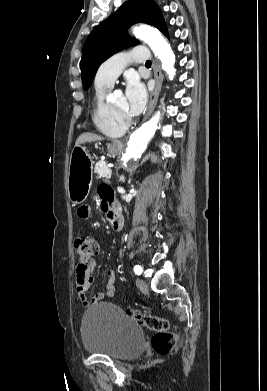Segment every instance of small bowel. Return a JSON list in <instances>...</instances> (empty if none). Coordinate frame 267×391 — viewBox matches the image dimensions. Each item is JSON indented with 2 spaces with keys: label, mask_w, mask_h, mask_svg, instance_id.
I'll list each match as a JSON object with an SVG mask.
<instances>
[{
  "label": "small bowel",
  "mask_w": 267,
  "mask_h": 391,
  "mask_svg": "<svg viewBox=\"0 0 267 391\" xmlns=\"http://www.w3.org/2000/svg\"><path fill=\"white\" fill-rule=\"evenodd\" d=\"M98 196L102 201L104 208H115V198L112 188L107 184L98 186ZM116 209V208H115ZM77 215L80 219L87 220L90 215V208L82 205L77 210ZM95 263L93 262L88 271L77 269L76 291L81 303L84 306H89L90 303H97L103 299L111 298L115 293L116 272L111 270L108 272V282L104 291L96 293L91 299L88 298L87 292L93 284V270Z\"/></svg>",
  "instance_id": "small-bowel-1"
}]
</instances>
